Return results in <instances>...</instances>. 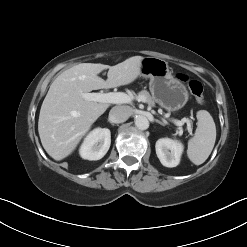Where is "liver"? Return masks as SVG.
Masks as SVG:
<instances>
[{
    "label": "liver",
    "instance_id": "liver-1",
    "mask_svg": "<svg viewBox=\"0 0 247 247\" xmlns=\"http://www.w3.org/2000/svg\"><path fill=\"white\" fill-rule=\"evenodd\" d=\"M143 57L133 56L115 65L81 63L61 73L42 103L38 132L46 152L59 161L69 156L108 103L82 98L81 93L128 85L141 74ZM108 69L107 80L98 76Z\"/></svg>",
    "mask_w": 247,
    "mask_h": 247
}]
</instances>
